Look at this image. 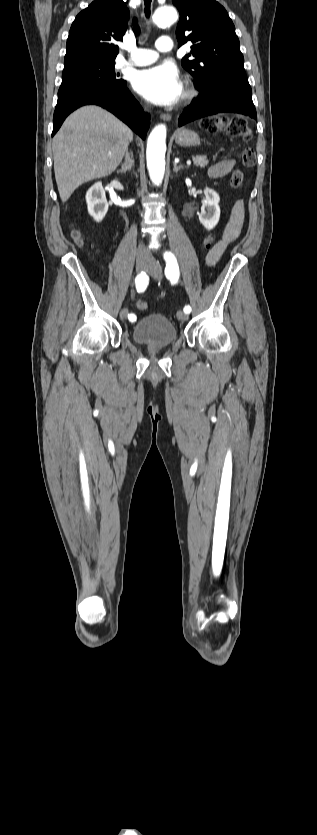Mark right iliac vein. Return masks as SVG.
Segmentation results:
<instances>
[{
    "label": "right iliac vein",
    "instance_id": "obj_1",
    "mask_svg": "<svg viewBox=\"0 0 317 835\" xmlns=\"http://www.w3.org/2000/svg\"><path fill=\"white\" fill-rule=\"evenodd\" d=\"M148 264H149V260L145 257L140 256L136 260V270L138 272H142L143 270H145L147 268ZM127 315H128V309L124 308L120 311V318L122 320L125 319L127 317Z\"/></svg>",
    "mask_w": 317,
    "mask_h": 835
}]
</instances>
